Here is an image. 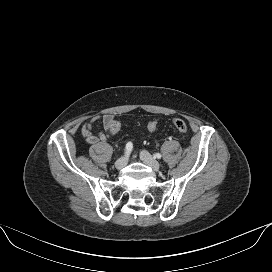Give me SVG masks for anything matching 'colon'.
Returning a JSON list of instances; mask_svg holds the SVG:
<instances>
[{"instance_id": "1", "label": "colon", "mask_w": 272, "mask_h": 272, "mask_svg": "<svg viewBox=\"0 0 272 272\" xmlns=\"http://www.w3.org/2000/svg\"><path fill=\"white\" fill-rule=\"evenodd\" d=\"M172 126L182 135H185L187 133V130H188L187 124L181 118H173ZM120 127H121V123L118 120H114V122L112 123L110 127V134L116 133L120 129ZM147 127L151 132L156 131L158 127V121L156 119L150 120L147 124Z\"/></svg>"}]
</instances>
